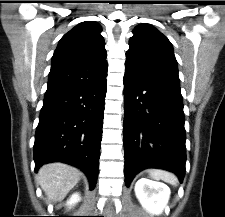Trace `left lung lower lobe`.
Masks as SVG:
<instances>
[{"label": "left lung lower lobe", "instance_id": "0a47b994", "mask_svg": "<svg viewBox=\"0 0 225 217\" xmlns=\"http://www.w3.org/2000/svg\"><path fill=\"white\" fill-rule=\"evenodd\" d=\"M125 182L146 168L185 174L186 147L180 86L147 80L125 70Z\"/></svg>", "mask_w": 225, "mask_h": 217}]
</instances>
